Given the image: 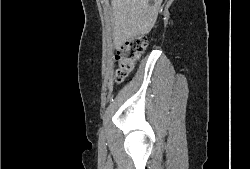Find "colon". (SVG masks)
Here are the masks:
<instances>
[{
    "label": "colon",
    "instance_id": "5ec220e1",
    "mask_svg": "<svg viewBox=\"0 0 250 169\" xmlns=\"http://www.w3.org/2000/svg\"><path fill=\"white\" fill-rule=\"evenodd\" d=\"M146 34H139L127 38L118 48L116 55V83L123 82L134 70L139 59L146 48V43H151V38Z\"/></svg>",
    "mask_w": 250,
    "mask_h": 169
}]
</instances>
